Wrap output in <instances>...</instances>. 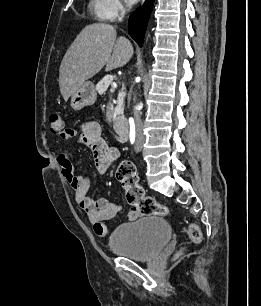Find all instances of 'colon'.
<instances>
[{"mask_svg": "<svg viewBox=\"0 0 261 306\" xmlns=\"http://www.w3.org/2000/svg\"><path fill=\"white\" fill-rule=\"evenodd\" d=\"M50 130L53 134L66 138L70 130L66 128L63 116L59 112H53L49 117ZM116 179L124 186L126 199L138 213L142 215L166 216L169 209L158 203L153 197L148 196L138 182L135 165L130 161H122L115 172ZM188 237L192 243L201 239V231L195 224L188 228Z\"/></svg>", "mask_w": 261, "mask_h": 306, "instance_id": "obj_1", "label": "colon"}]
</instances>
